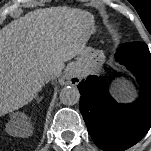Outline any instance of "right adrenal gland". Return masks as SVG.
Listing matches in <instances>:
<instances>
[{
    "mask_svg": "<svg viewBox=\"0 0 151 151\" xmlns=\"http://www.w3.org/2000/svg\"><path fill=\"white\" fill-rule=\"evenodd\" d=\"M35 98L37 99V101H39V100H40V98H38L37 96H35Z\"/></svg>",
    "mask_w": 151,
    "mask_h": 151,
    "instance_id": "1",
    "label": "right adrenal gland"
}]
</instances>
